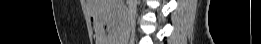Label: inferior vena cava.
<instances>
[{
	"instance_id": "602c4592",
	"label": "inferior vena cava",
	"mask_w": 261,
	"mask_h": 44,
	"mask_svg": "<svg viewBox=\"0 0 261 44\" xmlns=\"http://www.w3.org/2000/svg\"><path fill=\"white\" fill-rule=\"evenodd\" d=\"M135 13H136L135 7H133V6L129 7V9H128V20H129V22L131 24V27H132V25L134 23Z\"/></svg>"
}]
</instances>
